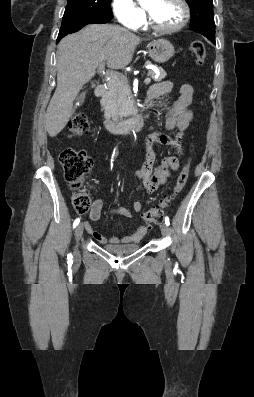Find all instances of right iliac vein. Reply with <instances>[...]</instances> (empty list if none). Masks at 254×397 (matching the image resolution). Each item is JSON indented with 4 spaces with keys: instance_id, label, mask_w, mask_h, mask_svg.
Returning a JSON list of instances; mask_svg holds the SVG:
<instances>
[{
    "instance_id": "right-iliac-vein-1",
    "label": "right iliac vein",
    "mask_w": 254,
    "mask_h": 397,
    "mask_svg": "<svg viewBox=\"0 0 254 397\" xmlns=\"http://www.w3.org/2000/svg\"><path fill=\"white\" fill-rule=\"evenodd\" d=\"M83 229H84V228H83V224H79V225L76 227V230H75V240H76V243H78L79 240H80V238L82 237ZM74 254H75L76 257L79 255V251H78L77 245H76V247H75V252H74Z\"/></svg>"
}]
</instances>
